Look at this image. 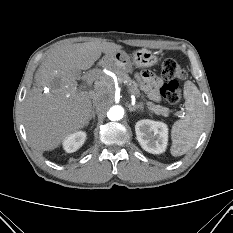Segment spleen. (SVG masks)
Here are the masks:
<instances>
[{"instance_id": "1", "label": "spleen", "mask_w": 233, "mask_h": 233, "mask_svg": "<svg viewBox=\"0 0 233 233\" xmlns=\"http://www.w3.org/2000/svg\"><path fill=\"white\" fill-rule=\"evenodd\" d=\"M186 115L176 121L171 130V154L175 157L188 152L197 142L204 123V104L195 84H184Z\"/></svg>"}]
</instances>
